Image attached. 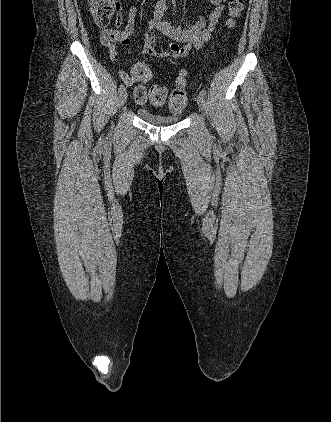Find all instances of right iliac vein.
Returning <instances> with one entry per match:
<instances>
[{"instance_id": "1", "label": "right iliac vein", "mask_w": 331, "mask_h": 422, "mask_svg": "<svg viewBox=\"0 0 331 422\" xmlns=\"http://www.w3.org/2000/svg\"><path fill=\"white\" fill-rule=\"evenodd\" d=\"M127 97H128V94L126 90H123L122 92H120V95L117 101L119 108H121L126 103Z\"/></svg>"}]
</instances>
